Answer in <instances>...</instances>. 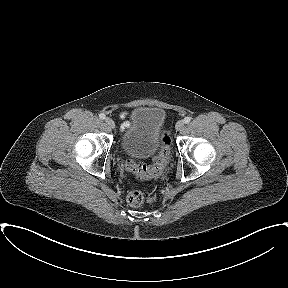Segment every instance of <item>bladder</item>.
Segmentation results:
<instances>
[{
	"mask_svg": "<svg viewBox=\"0 0 288 288\" xmlns=\"http://www.w3.org/2000/svg\"><path fill=\"white\" fill-rule=\"evenodd\" d=\"M165 111L159 107L140 106L130 115L121 137L123 151L133 157H147L164 144Z\"/></svg>",
	"mask_w": 288,
	"mask_h": 288,
	"instance_id": "bladder-1",
	"label": "bladder"
}]
</instances>
